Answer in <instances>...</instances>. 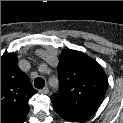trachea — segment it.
<instances>
[{
	"instance_id": "1",
	"label": "trachea",
	"mask_w": 123,
	"mask_h": 123,
	"mask_svg": "<svg viewBox=\"0 0 123 123\" xmlns=\"http://www.w3.org/2000/svg\"><path fill=\"white\" fill-rule=\"evenodd\" d=\"M45 85V80L43 78H36L35 81H34V86L37 88V89H42Z\"/></svg>"
}]
</instances>
